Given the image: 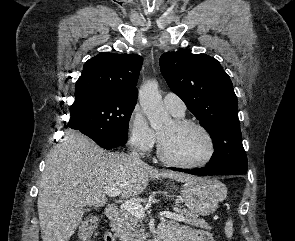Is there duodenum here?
I'll use <instances>...</instances> for the list:
<instances>
[{
    "label": "duodenum",
    "mask_w": 295,
    "mask_h": 241,
    "mask_svg": "<svg viewBox=\"0 0 295 241\" xmlns=\"http://www.w3.org/2000/svg\"><path fill=\"white\" fill-rule=\"evenodd\" d=\"M106 215L109 219L115 220L119 218L120 209L115 204H110L107 206ZM154 241H170V238L166 234L159 233Z\"/></svg>",
    "instance_id": "1"
}]
</instances>
